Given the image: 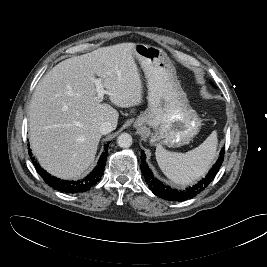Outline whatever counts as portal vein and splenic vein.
Wrapping results in <instances>:
<instances>
[{
    "label": "portal vein and splenic vein",
    "mask_w": 267,
    "mask_h": 267,
    "mask_svg": "<svg viewBox=\"0 0 267 267\" xmlns=\"http://www.w3.org/2000/svg\"><path fill=\"white\" fill-rule=\"evenodd\" d=\"M94 83H95V86H96L98 99H103V96L107 92L105 91V89L102 86L101 79L100 78L95 79Z\"/></svg>",
    "instance_id": "obj_1"
}]
</instances>
